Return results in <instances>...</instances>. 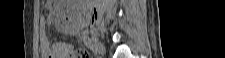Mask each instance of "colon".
<instances>
[{"instance_id":"colon-1","label":"colon","mask_w":225,"mask_h":58,"mask_svg":"<svg viewBox=\"0 0 225 58\" xmlns=\"http://www.w3.org/2000/svg\"><path fill=\"white\" fill-rule=\"evenodd\" d=\"M75 58H89L90 55H89V52L86 51L85 49L83 48H78L76 51H75Z\"/></svg>"}]
</instances>
